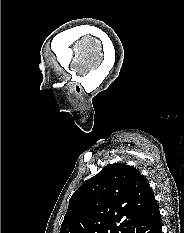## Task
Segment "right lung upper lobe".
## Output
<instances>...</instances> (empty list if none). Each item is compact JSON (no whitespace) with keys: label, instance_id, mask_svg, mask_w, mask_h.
I'll return each mask as SVG.
<instances>
[{"label":"right lung upper lobe","instance_id":"right-lung-upper-lobe-1","mask_svg":"<svg viewBox=\"0 0 184 233\" xmlns=\"http://www.w3.org/2000/svg\"><path fill=\"white\" fill-rule=\"evenodd\" d=\"M155 204L137 169L109 164L71 196L60 233H125Z\"/></svg>","mask_w":184,"mask_h":233}]
</instances>
